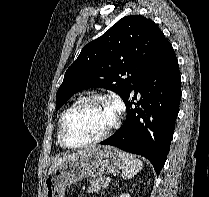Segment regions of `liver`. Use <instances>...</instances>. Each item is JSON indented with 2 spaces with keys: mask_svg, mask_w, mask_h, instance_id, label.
Masks as SVG:
<instances>
[{
  "mask_svg": "<svg viewBox=\"0 0 209 197\" xmlns=\"http://www.w3.org/2000/svg\"><path fill=\"white\" fill-rule=\"evenodd\" d=\"M85 150H81V151H79V152H77V153H73V154H70V155H68V156H63L62 158H59V159H57V160H55V162L52 164V166L50 167V169H49V172H51L55 167H57L58 165H60V164H62V163H64V162H66L68 159H70V158H72V157H74V156H76V155H78V154H81V153H83Z\"/></svg>",
  "mask_w": 209,
  "mask_h": 197,
  "instance_id": "1",
  "label": "liver"
}]
</instances>
